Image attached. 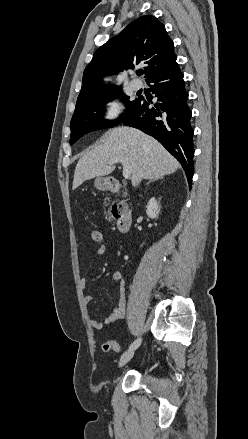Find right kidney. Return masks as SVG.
Returning <instances> with one entry per match:
<instances>
[{"mask_svg":"<svg viewBox=\"0 0 248 439\" xmlns=\"http://www.w3.org/2000/svg\"><path fill=\"white\" fill-rule=\"evenodd\" d=\"M159 212H160L159 202L154 197H152L147 204L146 214L149 218L155 219L158 217Z\"/></svg>","mask_w":248,"mask_h":439,"instance_id":"right-kidney-1","label":"right kidney"}]
</instances>
